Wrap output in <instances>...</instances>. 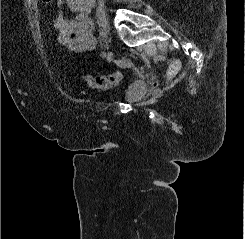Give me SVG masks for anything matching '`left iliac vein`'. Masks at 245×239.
Masks as SVG:
<instances>
[{
  "label": "left iliac vein",
  "mask_w": 245,
  "mask_h": 239,
  "mask_svg": "<svg viewBox=\"0 0 245 239\" xmlns=\"http://www.w3.org/2000/svg\"><path fill=\"white\" fill-rule=\"evenodd\" d=\"M114 54L112 51H108L106 59L108 62H111L113 60Z\"/></svg>",
  "instance_id": "left-iliac-vein-1"
}]
</instances>
